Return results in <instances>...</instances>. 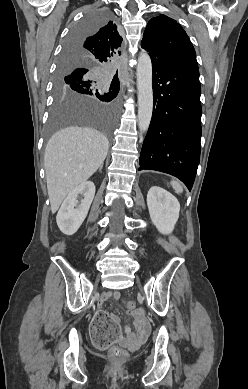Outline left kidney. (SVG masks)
Instances as JSON below:
<instances>
[{"label": "left kidney", "instance_id": "obj_1", "mask_svg": "<svg viewBox=\"0 0 248 389\" xmlns=\"http://www.w3.org/2000/svg\"><path fill=\"white\" fill-rule=\"evenodd\" d=\"M150 218L158 231L170 234L179 218L180 204L170 192L153 186L147 194Z\"/></svg>", "mask_w": 248, "mask_h": 389}]
</instances>
